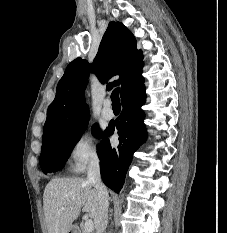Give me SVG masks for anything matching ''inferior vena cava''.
<instances>
[{
  "label": "inferior vena cava",
  "mask_w": 227,
  "mask_h": 233,
  "mask_svg": "<svg viewBox=\"0 0 227 233\" xmlns=\"http://www.w3.org/2000/svg\"><path fill=\"white\" fill-rule=\"evenodd\" d=\"M87 178L93 183L99 198V207L95 218L96 233H104L108 223L109 196L106 187L101 181L98 157H94L91 160L87 170Z\"/></svg>",
  "instance_id": "602c4592"
}]
</instances>
